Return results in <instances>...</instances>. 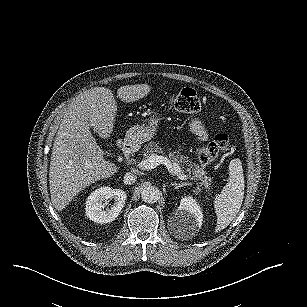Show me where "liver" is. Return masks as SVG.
Masks as SVG:
<instances>
[{
  "instance_id": "liver-1",
  "label": "liver",
  "mask_w": 307,
  "mask_h": 307,
  "mask_svg": "<svg viewBox=\"0 0 307 307\" xmlns=\"http://www.w3.org/2000/svg\"><path fill=\"white\" fill-rule=\"evenodd\" d=\"M148 84L121 86L117 96L135 102L150 92ZM117 102L110 89L95 87L77 97L65 113L56 134L49 167L52 205L62 211L73 198L96 181L113 176L118 167L104 159L90 127L100 138H110Z\"/></svg>"
}]
</instances>
